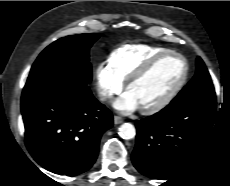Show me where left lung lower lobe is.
<instances>
[{
  "instance_id": "left-lung-lower-lobe-1",
  "label": "left lung lower lobe",
  "mask_w": 230,
  "mask_h": 186,
  "mask_svg": "<svg viewBox=\"0 0 230 186\" xmlns=\"http://www.w3.org/2000/svg\"><path fill=\"white\" fill-rule=\"evenodd\" d=\"M216 114V95L171 102L160 112L136 121V169L153 179L171 178L188 165L208 137Z\"/></svg>"
}]
</instances>
